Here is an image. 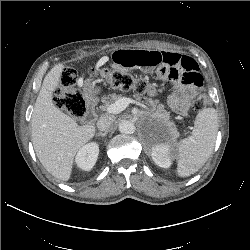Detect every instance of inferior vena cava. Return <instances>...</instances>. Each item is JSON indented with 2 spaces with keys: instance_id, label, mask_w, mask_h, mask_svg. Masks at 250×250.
<instances>
[{
  "instance_id": "1",
  "label": "inferior vena cava",
  "mask_w": 250,
  "mask_h": 250,
  "mask_svg": "<svg viewBox=\"0 0 250 250\" xmlns=\"http://www.w3.org/2000/svg\"><path fill=\"white\" fill-rule=\"evenodd\" d=\"M114 121V117L113 116H102L99 118L98 122H97V128L100 131H108L111 127V125L113 124Z\"/></svg>"
}]
</instances>
